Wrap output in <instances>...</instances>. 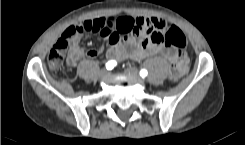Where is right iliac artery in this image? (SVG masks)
Returning <instances> with one entry per match:
<instances>
[{
	"instance_id": "1",
	"label": "right iliac artery",
	"mask_w": 245,
	"mask_h": 145,
	"mask_svg": "<svg viewBox=\"0 0 245 145\" xmlns=\"http://www.w3.org/2000/svg\"><path fill=\"white\" fill-rule=\"evenodd\" d=\"M117 62L114 60H110L106 63V68L107 70H111L114 68V66H116Z\"/></svg>"
}]
</instances>
